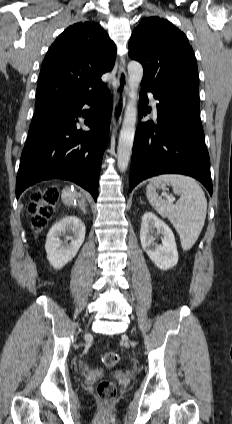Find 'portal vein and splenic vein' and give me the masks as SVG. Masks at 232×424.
<instances>
[{"label":"portal vein and splenic vein","instance_id":"18ae733b","mask_svg":"<svg viewBox=\"0 0 232 424\" xmlns=\"http://www.w3.org/2000/svg\"><path fill=\"white\" fill-rule=\"evenodd\" d=\"M174 200H175L174 198H170V201H171V202H174Z\"/></svg>","mask_w":232,"mask_h":424}]
</instances>
